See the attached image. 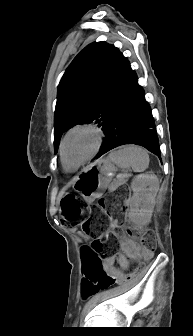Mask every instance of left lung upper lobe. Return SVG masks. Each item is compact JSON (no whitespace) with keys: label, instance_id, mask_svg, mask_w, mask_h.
Returning a JSON list of instances; mask_svg holds the SVG:
<instances>
[{"label":"left lung upper lobe","instance_id":"left-lung-upper-lobe-1","mask_svg":"<svg viewBox=\"0 0 193 336\" xmlns=\"http://www.w3.org/2000/svg\"><path fill=\"white\" fill-rule=\"evenodd\" d=\"M128 60L113 45L94 42L72 61L58 86L54 146L76 124L102 126L121 86Z\"/></svg>","mask_w":193,"mask_h":336}]
</instances>
